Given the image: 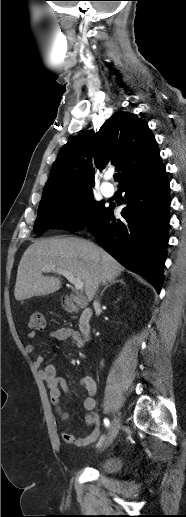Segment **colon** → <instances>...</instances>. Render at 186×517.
<instances>
[{"label": "colon", "instance_id": "colon-1", "mask_svg": "<svg viewBox=\"0 0 186 517\" xmlns=\"http://www.w3.org/2000/svg\"><path fill=\"white\" fill-rule=\"evenodd\" d=\"M29 328L33 331H43L45 329V318L42 312L33 311L29 318Z\"/></svg>", "mask_w": 186, "mask_h": 517}]
</instances>
